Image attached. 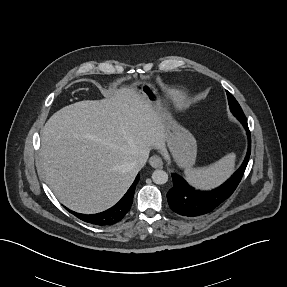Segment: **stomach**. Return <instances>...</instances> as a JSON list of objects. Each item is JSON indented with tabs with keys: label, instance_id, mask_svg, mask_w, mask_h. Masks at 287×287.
<instances>
[{
	"label": "stomach",
	"instance_id": "obj_1",
	"mask_svg": "<svg viewBox=\"0 0 287 287\" xmlns=\"http://www.w3.org/2000/svg\"><path fill=\"white\" fill-rule=\"evenodd\" d=\"M136 90L153 108L160 114L166 125V143L175 159L181 167L190 168L196 159L197 145L193 135L180 126L163 106L159 89L155 83L149 80L137 81L132 84Z\"/></svg>",
	"mask_w": 287,
	"mask_h": 287
}]
</instances>
